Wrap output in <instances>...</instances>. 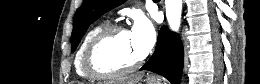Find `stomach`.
Here are the masks:
<instances>
[{"label": "stomach", "instance_id": "obj_1", "mask_svg": "<svg viewBox=\"0 0 260 84\" xmlns=\"http://www.w3.org/2000/svg\"><path fill=\"white\" fill-rule=\"evenodd\" d=\"M146 84H162L160 81L152 80V79H147Z\"/></svg>", "mask_w": 260, "mask_h": 84}]
</instances>
